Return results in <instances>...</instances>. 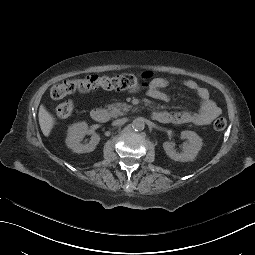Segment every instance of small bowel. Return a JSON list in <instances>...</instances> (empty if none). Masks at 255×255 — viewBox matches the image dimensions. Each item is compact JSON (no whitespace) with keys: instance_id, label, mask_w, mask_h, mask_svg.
I'll return each instance as SVG.
<instances>
[{"instance_id":"1","label":"small bowel","mask_w":255,"mask_h":255,"mask_svg":"<svg viewBox=\"0 0 255 255\" xmlns=\"http://www.w3.org/2000/svg\"><path fill=\"white\" fill-rule=\"evenodd\" d=\"M174 78H155L150 83L145 85L149 96L156 99H162L166 95L161 91L162 88L167 87L175 82ZM185 87L193 91L200 100V108L197 112H173L171 115V123L184 124L192 123L194 125L202 126L210 124L220 113L221 109L212 100L209 91L190 79L180 81ZM134 91L138 88L133 89Z\"/></svg>"}]
</instances>
